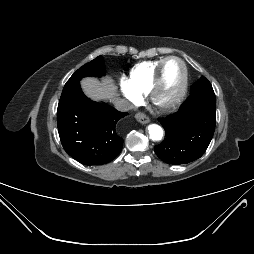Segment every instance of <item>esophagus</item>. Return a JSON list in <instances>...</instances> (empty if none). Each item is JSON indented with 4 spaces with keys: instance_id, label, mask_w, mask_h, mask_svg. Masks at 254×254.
Masks as SVG:
<instances>
[{
    "instance_id": "obj_1",
    "label": "esophagus",
    "mask_w": 254,
    "mask_h": 254,
    "mask_svg": "<svg viewBox=\"0 0 254 254\" xmlns=\"http://www.w3.org/2000/svg\"><path fill=\"white\" fill-rule=\"evenodd\" d=\"M135 118L138 122L142 123V124H147L150 122V119L146 116V114L142 113V112H138L135 115Z\"/></svg>"
}]
</instances>
